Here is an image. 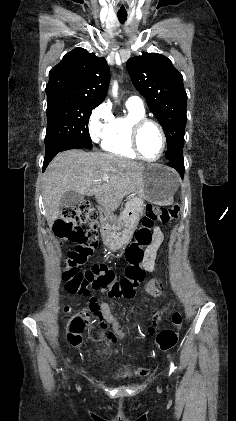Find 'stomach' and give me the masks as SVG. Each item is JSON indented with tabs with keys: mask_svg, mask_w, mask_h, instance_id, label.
<instances>
[{
	"mask_svg": "<svg viewBox=\"0 0 236 421\" xmlns=\"http://www.w3.org/2000/svg\"><path fill=\"white\" fill-rule=\"evenodd\" d=\"M143 180L144 196L132 194L119 217H114L112 213H103L101 217L106 221L105 245L110 251H119L130 243L144 215V198L153 204H169L179 184L176 172L164 164H146Z\"/></svg>",
	"mask_w": 236,
	"mask_h": 421,
	"instance_id": "obj_1",
	"label": "stomach"
}]
</instances>
